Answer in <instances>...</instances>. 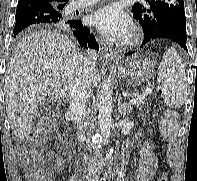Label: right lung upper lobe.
<instances>
[{
	"label": "right lung upper lobe",
	"mask_w": 197,
	"mask_h": 181,
	"mask_svg": "<svg viewBox=\"0 0 197 181\" xmlns=\"http://www.w3.org/2000/svg\"><path fill=\"white\" fill-rule=\"evenodd\" d=\"M51 4H66L69 0H45Z\"/></svg>",
	"instance_id": "right-lung-upper-lobe-1"
}]
</instances>
